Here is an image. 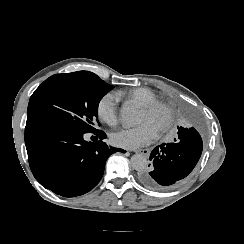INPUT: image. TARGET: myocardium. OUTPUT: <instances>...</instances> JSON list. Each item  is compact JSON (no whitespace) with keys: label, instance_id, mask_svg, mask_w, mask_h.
<instances>
[{"label":"myocardium","instance_id":"obj_1","mask_svg":"<svg viewBox=\"0 0 244 244\" xmlns=\"http://www.w3.org/2000/svg\"><path fill=\"white\" fill-rule=\"evenodd\" d=\"M141 108L146 111H152V110H155L158 108H163L164 110H166L170 121H169L168 125L166 126V128L161 132V134H164L172 129L174 115H173V111L171 110V108L169 106L164 105L161 102H154V103L141 105Z\"/></svg>","mask_w":244,"mask_h":244}]
</instances>
